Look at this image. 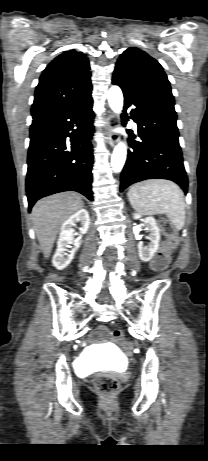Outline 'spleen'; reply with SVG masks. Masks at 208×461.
I'll return each instance as SVG.
<instances>
[{
    "instance_id": "3e777b00",
    "label": "spleen",
    "mask_w": 208,
    "mask_h": 461,
    "mask_svg": "<svg viewBox=\"0 0 208 461\" xmlns=\"http://www.w3.org/2000/svg\"><path fill=\"white\" fill-rule=\"evenodd\" d=\"M132 207L144 215L165 214L177 230L185 224V201L180 187L164 179L134 184L127 193Z\"/></svg>"
}]
</instances>
